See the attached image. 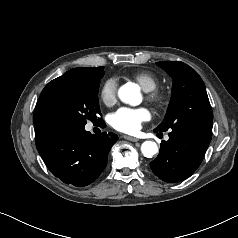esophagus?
I'll return each instance as SVG.
<instances>
[{
	"mask_svg": "<svg viewBox=\"0 0 238 238\" xmlns=\"http://www.w3.org/2000/svg\"><path fill=\"white\" fill-rule=\"evenodd\" d=\"M124 138H125L126 140H129V141H132V142H137V141H139L138 138L131 137V136H124Z\"/></svg>",
	"mask_w": 238,
	"mask_h": 238,
	"instance_id": "34e87169",
	"label": "esophagus"
}]
</instances>
